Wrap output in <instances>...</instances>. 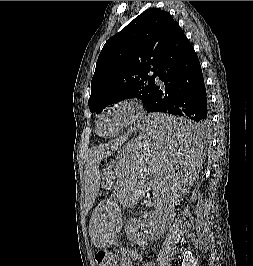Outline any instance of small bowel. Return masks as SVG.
I'll use <instances>...</instances> for the list:
<instances>
[{"mask_svg": "<svg viewBox=\"0 0 253 266\" xmlns=\"http://www.w3.org/2000/svg\"><path fill=\"white\" fill-rule=\"evenodd\" d=\"M119 253L121 255L119 266H133V259L141 260V255L129 248L121 247L119 248ZM142 266H152V263L146 261Z\"/></svg>", "mask_w": 253, "mask_h": 266, "instance_id": "obj_1", "label": "small bowel"}]
</instances>
